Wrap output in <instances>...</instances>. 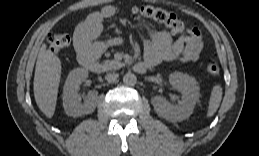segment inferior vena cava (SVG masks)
<instances>
[{"mask_svg": "<svg viewBox=\"0 0 259 156\" xmlns=\"http://www.w3.org/2000/svg\"><path fill=\"white\" fill-rule=\"evenodd\" d=\"M118 74L117 73H110V74H107L105 79L109 82V83H113L117 80L118 78Z\"/></svg>", "mask_w": 259, "mask_h": 156, "instance_id": "inferior-vena-cava-1", "label": "inferior vena cava"}]
</instances>
